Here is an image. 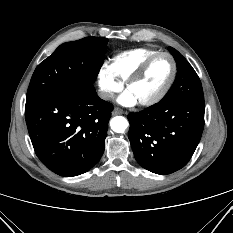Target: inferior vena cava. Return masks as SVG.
Instances as JSON below:
<instances>
[{
  "mask_svg": "<svg viewBox=\"0 0 233 233\" xmlns=\"http://www.w3.org/2000/svg\"><path fill=\"white\" fill-rule=\"evenodd\" d=\"M98 96L103 100H110L113 98V94L107 91H99Z\"/></svg>",
  "mask_w": 233,
  "mask_h": 233,
  "instance_id": "inferior-vena-cava-1",
  "label": "inferior vena cava"
}]
</instances>
